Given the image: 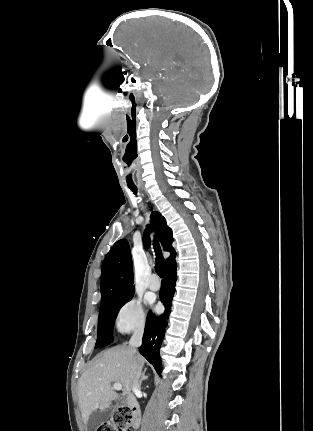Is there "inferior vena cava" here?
Here are the masks:
<instances>
[{
	"mask_svg": "<svg viewBox=\"0 0 313 431\" xmlns=\"http://www.w3.org/2000/svg\"><path fill=\"white\" fill-rule=\"evenodd\" d=\"M142 336H143V329H138L136 330L130 341H129V346L131 347V349L136 352V349L142 344ZM141 372H137L133 383H132V390L133 392H137L140 390V385H139V378H140ZM131 401L135 402V399L131 396Z\"/></svg>",
	"mask_w": 313,
	"mask_h": 431,
	"instance_id": "1",
	"label": "inferior vena cava"
}]
</instances>
